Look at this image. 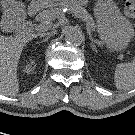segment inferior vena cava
Instances as JSON below:
<instances>
[{
	"instance_id": "obj_1",
	"label": "inferior vena cava",
	"mask_w": 135,
	"mask_h": 135,
	"mask_svg": "<svg viewBox=\"0 0 135 135\" xmlns=\"http://www.w3.org/2000/svg\"><path fill=\"white\" fill-rule=\"evenodd\" d=\"M53 34H56V31H52V32H44V33H41L39 34L41 37H44V36H51Z\"/></svg>"
}]
</instances>
